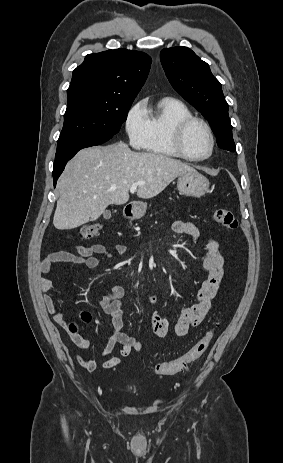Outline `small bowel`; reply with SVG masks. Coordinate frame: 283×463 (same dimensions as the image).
Wrapping results in <instances>:
<instances>
[{
	"label": "small bowel",
	"mask_w": 283,
	"mask_h": 463,
	"mask_svg": "<svg viewBox=\"0 0 283 463\" xmlns=\"http://www.w3.org/2000/svg\"><path fill=\"white\" fill-rule=\"evenodd\" d=\"M172 229L177 234L189 236L193 242H197L201 237L200 230L191 222L175 221ZM73 248L76 253L60 250L48 254L42 261L40 269L42 277L39 279V289L42 294L43 304L53 319L65 327L67 326V322L64 315L49 295V290L52 288L53 283L45 276L52 272L53 266L57 263L81 265L88 270H92L98 267L103 259L110 258L111 256L108 249L99 243L90 246L75 245ZM205 248L206 254L202 267L207 277L197 292L196 302L192 306L180 310L174 325H170L161 316L152 314L150 317V327L153 334L158 338H166L171 334L178 337L186 335L190 328L202 322L210 310L224 276V258L219 250L217 241L208 239ZM115 250L121 255L127 253L126 247L121 244H117ZM124 296L125 289L121 286H115L98 302L99 307L110 316L112 326L111 335L103 355L109 356L118 345L122 346L120 356L109 357L103 362L102 366L104 369H111L120 365L123 359L132 351H141L143 349L141 341L123 332L122 299ZM156 300L155 296L149 298L151 304H154ZM71 339L81 350L90 347V342L77 333H71ZM78 361L88 372H93L97 367L95 360L89 357L79 355Z\"/></svg>",
	"instance_id": "1"
}]
</instances>
